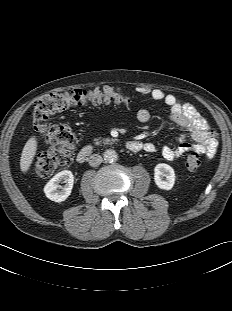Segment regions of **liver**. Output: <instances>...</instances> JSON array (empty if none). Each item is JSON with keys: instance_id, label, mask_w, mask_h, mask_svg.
Wrapping results in <instances>:
<instances>
[{"instance_id": "1", "label": "liver", "mask_w": 232, "mask_h": 311, "mask_svg": "<svg viewBox=\"0 0 232 311\" xmlns=\"http://www.w3.org/2000/svg\"><path fill=\"white\" fill-rule=\"evenodd\" d=\"M37 139L35 136H32L25 144L22 154H21V159H20V169L23 173H26L32 162L33 159L36 155L37 151Z\"/></svg>"}]
</instances>
